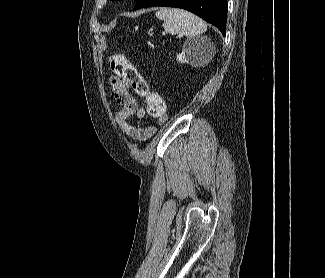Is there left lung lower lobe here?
Listing matches in <instances>:
<instances>
[{"instance_id":"1","label":"left lung lower lobe","mask_w":325,"mask_h":278,"mask_svg":"<svg viewBox=\"0 0 325 278\" xmlns=\"http://www.w3.org/2000/svg\"><path fill=\"white\" fill-rule=\"evenodd\" d=\"M151 6L188 10L216 26L224 36L226 34L227 0H137L133 11Z\"/></svg>"}]
</instances>
